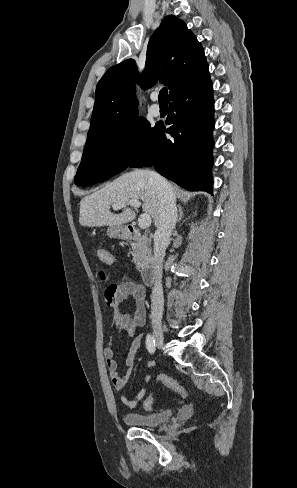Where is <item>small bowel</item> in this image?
Returning <instances> with one entry per match:
<instances>
[{
  "label": "small bowel",
  "instance_id": "obj_1",
  "mask_svg": "<svg viewBox=\"0 0 297 488\" xmlns=\"http://www.w3.org/2000/svg\"><path fill=\"white\" fill-rule=\"evenodd\" d=\"M107 255L101 262L105 264H113L114 257L111 253L104 250ZM116 296L114 304L121 303L129 298L135 301V311L133 314H121L115 312L113 319L117 327L125 332L128 336L132 337L128 353L125 358V371L121 373L118 368V363L114 357V351L112 348V342L110 341L107 347L104 349L103 354L106 361L109 377L112 384L118 391H123L126 385L129 383L130 372L134 366L136 353L141 346L143 334L135 335L138 328L145 325L146 322V290L145 288L129 279L128 277L122 278V280L116 284ZM153 362L149 363V366H153ZM151 375L146 374L144 376L145 382L151 381ZM146 389L139 391L134 397H128L126 395L120 396V401L127 407H135L138 402L145 396Z\"/></svg>",
  "mask_w": 297,
  "mask_h": 488
}]
</instances>
